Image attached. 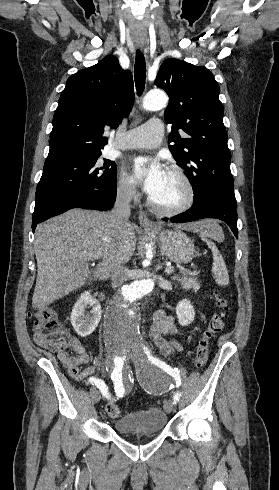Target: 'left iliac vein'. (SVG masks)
<instances>
[{
  "label": "left iliac vein",
  "mask_w": 279,
  "mask_h": 490,
  "mask_svg": "<svg viewBox=\"0 0 279 490\" xmlns=\"http://www.w3.org/2000/svg\"><path fill=\"white\" fill-rule=\"evenodd\" d=\"M135 358L137 359L138 357H137V356L135 357L133 354H130V355L128 356V359H129L130 361H133V360L135 361ZM165 410H166V412H168V413H171V412L173 411V404H172V401H171V400H167V401H166V403H165Z\"/></svg>",
  "instance_id": "obj_1"
}]
</instances>
